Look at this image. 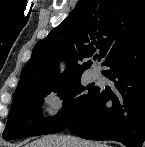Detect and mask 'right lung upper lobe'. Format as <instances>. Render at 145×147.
Masks as SVG:
<instances>
[{"mask_svg":"<svg viewBox=\"0 0 145 147\" xmlns=\"http://www.w3.org/2000/svg\"><path fill=\"white\" fill-rule=\"evenodd\" d=\"M145 30V0H79L75 9L34 47L16 91L55 87L90 68L100 46L102 66L128 40ZM95 57V56H94ZM68 60L59 75L58 63Z\"/></svg>","mask_w":145,"mask_h":147,"instance_id":"right-lung-upper-lobe-1","label":"right lung upper lobe"}]
</instances>
